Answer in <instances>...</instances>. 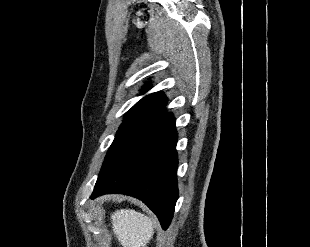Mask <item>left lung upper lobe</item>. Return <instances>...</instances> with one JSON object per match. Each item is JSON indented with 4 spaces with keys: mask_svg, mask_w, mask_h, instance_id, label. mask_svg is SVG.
Returning <instances> with one entry per match:
<instances>
[{
    "mask_svg": "<svg viewBox=\"0 0 310 247\" xmlns=\"http://www.w3.org/2000/svg\"><path fill=\"white\" fill-rule=\"evenodd\" d=\"M148 89L149 83L142 91L145 92ZM166 104V96L161 92H155L143 97L125 114L124 121L107 152L98 178L126 145L144 129L165 115Z\"/></svg>",
    "mask_w": 310,
    "mask_h": 247,
    "instance_id": "1",
    "label": "left lung upper lobe"
}]
</instances>
